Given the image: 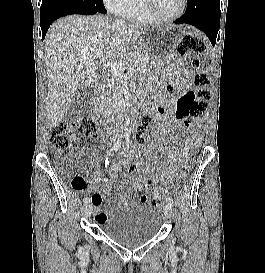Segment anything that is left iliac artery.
<instances>
[{"mask_svg":"<svg viewBox=\"0 0 265 273\" xmlns=\"http://www.w3.org/2000/svg\"><path fill=\"white\" fill-rule=\"evenodd\" d=\"M166 202L170 205H173V199L171 197H166Z\"/></svg>","mask_w":265,"mask_h":273,"instance_id":"obj_1","label":"left iliac artery"}]
</instances>
